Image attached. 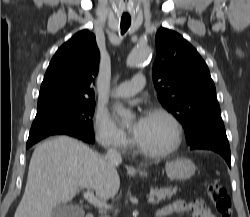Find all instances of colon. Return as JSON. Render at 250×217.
<instances>
[{"label":"colon","mask_w":250,"mask_h":217,"mask_svg":"<svg viewBox=\"0 0 250 217\" xmlns=\"http://www.w3.org/2000/svg\"><path fill=\"white\" fill-rule=\"evenodd\" d=\"M211 203L220 217H232V202L227 191L216 181L206 184Z\"/></svg>","instance_id":"1"}]
</instances>
